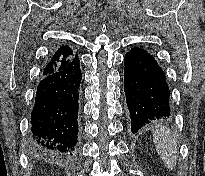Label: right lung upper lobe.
<instances>
[{
  "mask_svg": "<svg viewBox=\"0 0 205 176\" xmlns=\"http://www.w3.org/2000/svg\"><path fill=\"white\" fill-rule=\"evenodd\" d=\"M75 55L72 47L68 45L60 46L50 57V60L46 64L43 75L51 72L52 70L58 68L59 66L64 65L66 62H69Z\"/></svg>",
  "mask_w": 205,
  "mask_h": 176,
  "instance_id": "obj_1",
  "label": "right lung upper lobe"
}]
</instances>
